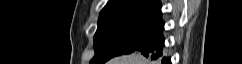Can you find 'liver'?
Instances as JSON below:
<instances>
[{
	"label": "liver",
	"mask_w": 242,
	"mask_h": 64,
	"mask_svg": "<svg viewBox=\"0 0 242 64\" xmlns=\"http://www.w3.org/2000/svg\"><path fill=\"white\" fill-rule=\"evenodd\" d=\"M148 62L141 54L132 53L130 55L115 57L108 64H149Z\"/></svg>",
	"instance_id": "6515ba94"
}]
</instances>
